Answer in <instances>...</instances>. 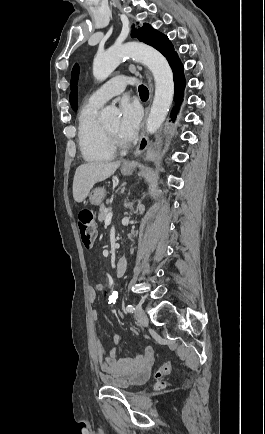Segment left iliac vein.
<instances>
[{"mask_svg":"<svg viewBox=\"0 0 265 434\" xmlns=\"http://www.w3.org/2000/svg\"><path fill=\"white\" fill-rule=\"evenodd\" d=\"M135 318L139 324L144 326L148 325V317L146 315L145 310L140 304L136 305Z\"/></svg>","mask_w":265,"mask_h":434,"instance_id":"1","label":"left iliac vein"}]
</instances>
